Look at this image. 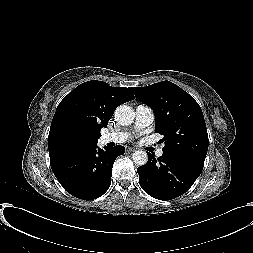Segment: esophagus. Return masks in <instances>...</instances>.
<instances>
[{"mask_svg": "<svg viewBox=\"0 0 253 253\" xmlns=\"http://www.w3.org/2000/svg\"><path fill=\"white\" fill-rule=\"evenodd\" d=\"M137 150V148H135V147H128L127 148V151L128 152H134V151H136Z\"/></svg>", "mask_w": 253, "mask_h": 253, "instance_id": "34e87169", "label": "esophagus"}]
</instances>
